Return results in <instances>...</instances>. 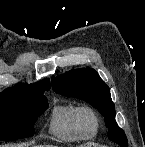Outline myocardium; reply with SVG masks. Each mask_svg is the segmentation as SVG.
Segmentation results:
<instances>
[{
    "label": "myocardium",
    "instance_id": "f54148a6",
    "mask_svg": "<svg viewBox=\"0 0 145 147\" xmlns=\"http://www.w3.org/2000/svg\"><path fill=\"white\" fill-rule=\"evenodd\" d=\"M81 120L84 125L92 130L97 131L100 120L96 111L91 107H82Z\"/></svg>",
    "mask_w": 145,
    "mask_h": 147
}]
</instances>
